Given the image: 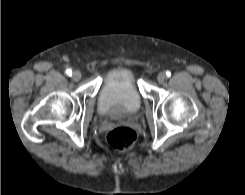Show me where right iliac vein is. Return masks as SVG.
<instances>
[{
  "label": "right iliac vein",
  "instance_id": "right-iliac-vein-1",
  "mask_svg": "<svg viewBox=\"0 0 245 195\" xmlns=\"http://www.w3.org/2000/svg\"><path fill=\"white\" fill-rule=\"evenodd\" d=\"M82 75L79 71H75L72 75V79L74 81H79L81 79Z\"/></svg>",
  "mask_w": 245,
  "mask_h": 195
}]
</instances>
